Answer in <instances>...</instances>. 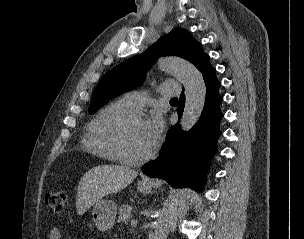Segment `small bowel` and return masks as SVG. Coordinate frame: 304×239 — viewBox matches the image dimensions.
<instances>
[{"label": "small bowel", "mask_w": 304, "mask_h": 239, "mask_svg": "<svg viewBox=\"0 0 304 239\" xmlns=\"http://www.w3.org/2000/svg\"><path fill=\"white\" fill-rule=\"evenodd\" d=\"M62 230L58 227L52 228L49 233V239H62Z\"/></svg>", "instance_id": "small-bowel-1"}]
</instances>
